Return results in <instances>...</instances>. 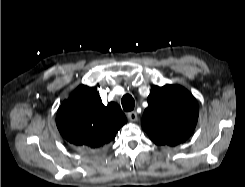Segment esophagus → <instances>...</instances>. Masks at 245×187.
Instances as JSON below:
<instances>
[{"instance_id": "34e87169", "label": "esophagus", "mask_w": 245, "mask_h": 187, "mask_svg": "<svg viewBox=\"0 0 245 187\" xmlns=\"http://www.w3.org/2000/svg\"><path fill=\"white\" fill-rule=\"evenodd\" d=\"M127 117L130 121H136L137 120V113L135 111L128 112Z\"/></svg>"}]
</instances>
